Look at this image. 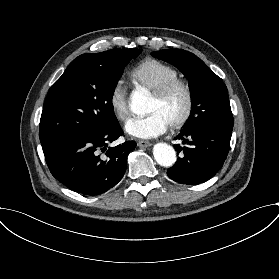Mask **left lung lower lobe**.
<instances>
[{"label":"left lung lower lobe","mask_w":279,"mask_h":279,"mask_svg":"<svg viewBox=\"0 0 279 279\" xmlns=\"http://www.w3.org/2000/svg\"><path fill=\"white\" fill-rule=\"evenodd\" d=\"M231 134L232 128L208 124L183 129L175 140H182L184 146L175 147L177 153L183 151L184 156L167 170L168 177L190 185L212 178L227 157Z\"/></svg>","instance_id":"left-lung-lower-lobe-1"}]
</instances>
